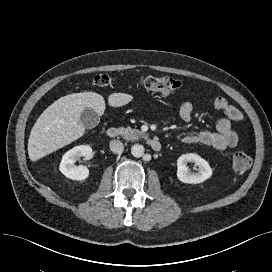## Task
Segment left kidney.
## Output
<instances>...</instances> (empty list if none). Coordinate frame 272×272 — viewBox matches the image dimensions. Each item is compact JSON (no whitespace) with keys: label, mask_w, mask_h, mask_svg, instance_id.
<instances>
[{"label":"left kidney","mask_w":272,"mask_h":272,"mask_svg":"<svg viewBox=\"0 0 272 272\" xmlns=\"http://www.w3.org/2000/svg\"><path fill=\"white\" fill-rule=\"evenodd\" d=\"M192 162L198 166L197 172H190L187 163ZM212 175L209 163L195 153L183 154L177 160V177L183 183L198 184Z\"/></svg>","instance_id":"1"}]
</instances>
